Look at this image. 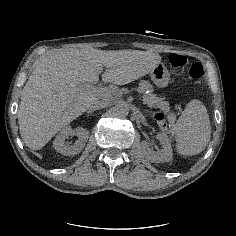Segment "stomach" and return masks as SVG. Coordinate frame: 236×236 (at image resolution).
I'll return each instance as SVG.
<instances>
[{
  "label": "stomach",
  "mask_w": 236,
  "mask_h": 236,
  "mask_svg": "<svg viewBox=\"0 0 236 236\" xmlns=\"http://www.w3.org/2000/svg\"><path fill=\"white\" fill-rule=\"evenodd\" d=\"M151 79L158 87H165L169 81V72L163 64H158L151 72Z\"/></svg>",
  "instance_id": "obj_1"
}]
</instances>
